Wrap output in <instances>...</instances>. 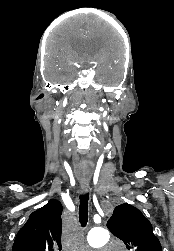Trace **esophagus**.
Here are the masks:
<instances>
[{
	"label": "esophagus",
	"instance_id": "obj_1",
	"mask_svg": "<svg viewBox=\"0 0 174 251\" xmlns=\"http://www.w3.org/2000/svg\"><path fill=\"white\" fill-rule=\"evenodd\" d=\"M80 187H81V190H82L84 193H86V192L88 191V189H89V184L86 183V182H83V183L80 184Z\"/></svg>",
	"mask_w": 174,
	"mask_h": 251
}]
</instances>
